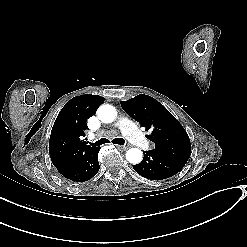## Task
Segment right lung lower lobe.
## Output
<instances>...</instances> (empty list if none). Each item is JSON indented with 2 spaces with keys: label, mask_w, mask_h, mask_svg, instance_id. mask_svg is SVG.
I'll list each match as a JSON object with an SVG mask.
<instances>
[{
  "label": "right lung lower lobe",
  "mask_w": 247,
  "mask_h": 247,
  "mask_svg": "<svg viewBox=\"0 0 247 247\" xmlns=\"http://www.w3.org/2000/svg\"><path fill=\"white\" fill-rule=\"evenodd\" d=\"M100 147H94L87 152L70 169L60 173L65 178L74 182H85L91 179L99 171L98 153Z\"/></svg>",
  "instance_id": "98d812e1"
}]
</instances>
